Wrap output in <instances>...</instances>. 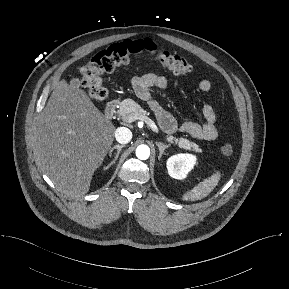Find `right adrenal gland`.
Wrapping results in <instances>:
<instances>
[{
    "label": "right adrenal gland",
    "instance_id": "right-adrenal-gland-1",
    "mask_svg": "<svg viewBox=\"0 0 289 289\" xmlns=\"http://www.w3.org/2000/svg\"><path fill=\"white\" fill-rule=\"evenodd\" d=\"M123 147H124V145H115V146H113V147L110 149V151H109V157L112 156V153H113L114 150H117V153H116L114 159H113L106 167H104V169L110 168V167L116 162V160L118 159V156H119V154H120V151H121V149H122Z\"/></svg>",
    "mask_w": 289,
    "mask_h": 289
}]
</instances>
